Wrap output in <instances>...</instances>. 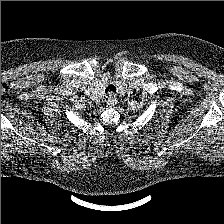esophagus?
Wrapping results in <instances>:
<instances>
[{"label":"esophagus","instance_id":"esophagus-1","mask_svg":"<svg viewBox=\"0 0 224 224\" xmlns=\"http://www.w3.org/2000/svg\"><path fill=\"white\" fill-rule=\"evenodd\" d=\"M107 103L109 105H113L114 103H116V98L110 95V97L107 100Z\"/></svg>","mask_w":224,"mask_h":224}]
</instances>
